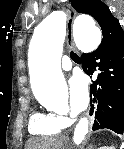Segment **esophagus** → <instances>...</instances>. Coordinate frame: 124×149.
<instances>
[{
  "mask_svg": "<svg viewBox=\"0 0 124 149\" xmlns=\"http://www.w3.org/2000/svg\"><path fill=\"white\" fill-rule=\"evenodd\" d=\"M67 14H68V20H67V44L70 48L73 47V34H72V27H73V22H74V18L76 16V12L75 10L71 7L70 4H66L65 5ZM95 114V111L91 110L90 113V119H93Z\"/></svg>",
  "mask_w": 124,
  "mask_h": 149,
  "instance_id": "esophagus-1",
  "label": "esophagus"
}]
</instances>
